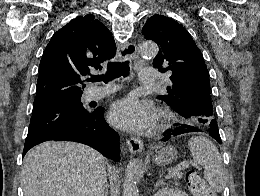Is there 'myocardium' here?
Listing matches in <instances>:
<instances>
[{"label": "myocardium", "mask_w": 260, "mask_h": 196, "mask_svg": "<svg viewBox=\"0 0 260 196\" xmlns=\"http://www.w3.org/2000/svg\"><path fill=\"white\" fill-rule=\"evenodd\" d=\"M169 121H170L169 117L165 113L160 112L157 118L156 127L162 128L166 126L169 123Z\"/></svg>", "instance_id": "1"}]
</instances>
